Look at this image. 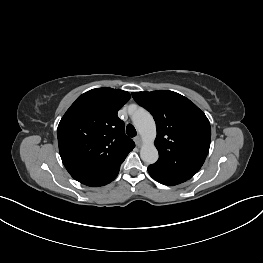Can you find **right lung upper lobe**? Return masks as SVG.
<instances>
[{
    "label": "right lung upper lobe",
    "mask_w": 263,
    "mask_h": 263,
    "mask_svg": "<svg viewBox=\"0 0 263 263\" xmlns=\"http://www.w3.org/2000/svg\"><path fill=\"white\" fill-rule=\"evenodd\" d=\"M129 99L130 94L120 89H92L79 96L62 117L57 129L59 152L78 182L109 176L135 147L117 116Z\"/></svg>",
    "instance_id": "obj_1"
}]
</instances>
